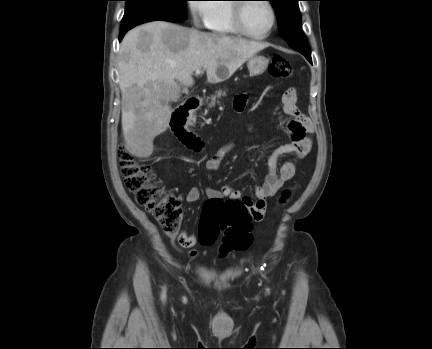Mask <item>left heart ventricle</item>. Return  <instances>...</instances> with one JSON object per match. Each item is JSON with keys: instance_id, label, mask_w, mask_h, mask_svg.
<instances>
[{"instance_id": "left-heart-ventricle-1", "label": "left heart ventricle", "mask_w": 432, "mask_h": 349, "mask_svg": "<svg viewBox=\"0 0 432 349\" xmlns=\"http://www.w3.org/2000/svg\"><path fill=\"white\" fill-rule=\"evenodd\" d=\"M245 27L253 34H264L272 23L270 9L263 2L248 4L243 12Z\"/></svg>"}]
</instances>
